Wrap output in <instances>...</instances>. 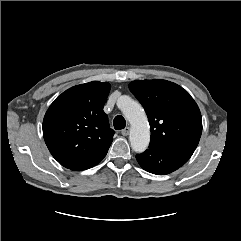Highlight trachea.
I'll list each match as a JSON object with an SVG mask.
<instances>
[{
	"mask_svg": "<svg viewBox=\"0 0 241 241\" xmlns=\"http://www.w3.org/2000/svg\"><path fill=\"white\" fill-rule=\"evenodd\" d=\"M113 125L116 130H121L125 128L126 121L123 116L118 115L114 118Z\"/></svg>",
	"mask_w": 241,
	"mask_h": 241,
	"instance_id": "obj_1",
	"label": "trachea"
}]
</instances>
